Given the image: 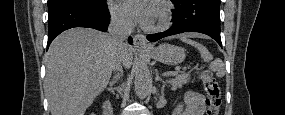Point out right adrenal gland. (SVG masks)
<instances>
[{
  "label": "right adrenal gland",
  "mask_w": 285,
  "mask_h": 115,
  "mask_svg": "<svg viewBox=\"0 0 285 115\" xmlns=\"http://www.w3.org/2000/svg\"><path fill=\"white\" fill-rule=\"evenodd\" d=\"M121 74V72L119 71L118 74L114 75V77L112 78V80L110 81V85L112 86L115 82H117L119 75Z\"/></svg>",
  "instance_id": "obj_1"
}]
</instances>
